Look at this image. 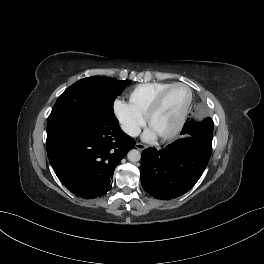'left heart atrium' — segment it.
<instances>
[{"mask_svg":"<svg viewBox=\"0 0 264 264\" xmlns=\"http://www.w3.org/2000/svg\"><path fill=\"white\" fill-rule=\"evenodd\" d=\"M144 138L146 140H152L153 138H155V133L150 129L146 131V133L144 134Z\"/></svg>","mask_w":264,"mask_h":264,"instance_id":"left-heart-atrium-1","label":"left heart atrium"}]
</instances>
